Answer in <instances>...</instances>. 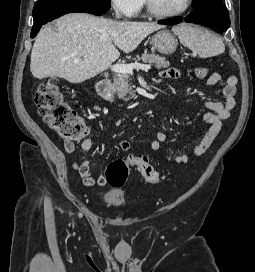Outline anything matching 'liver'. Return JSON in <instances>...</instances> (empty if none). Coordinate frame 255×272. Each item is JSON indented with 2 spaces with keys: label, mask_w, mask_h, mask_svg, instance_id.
I'll return each instance as SVG.
<instances>
[{
  "label": "liver",
  "mask_w": 255,
  "mask_h": 272,
  "mask_svg": "<svg viewBox=\"0 0 255 272\" xmlns=\"http://www.w3.org/2000/svg\"><path fill=\"white\" fill-rule=\"evenodd\" d=\"M163 27L86 13L66 14L56 20L55 28L47 26L38 33L30 71L37 79L59 77L82 83L108 69L119 58L118 49L132 52L149 34Z\"/></svg>",
  "instance_id": "1"
}]
</instances>
